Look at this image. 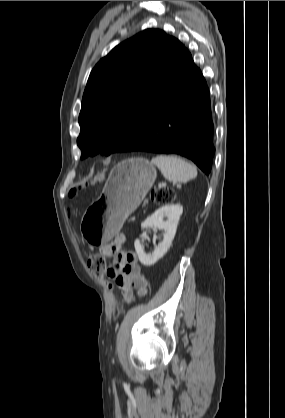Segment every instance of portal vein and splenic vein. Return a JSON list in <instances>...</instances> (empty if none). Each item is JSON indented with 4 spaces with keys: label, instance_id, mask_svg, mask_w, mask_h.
<instances>
[{
    "label": "portal vein and splenic vein",
    "instance_id": "18ae733b",
    "mask_svg": "<svg viewBox=\"0 0 285 418\" xmlns=\"http://www.w3.org/2000/svg\"><path fill=\"white\" fill-rule=\"evenodd\" d=\"M166 185V183H162V184H159V188H162L163 186H165Z\"/></svg>",
    "mask_w": 285,
    "mask_h": 418
}]
</instances>
